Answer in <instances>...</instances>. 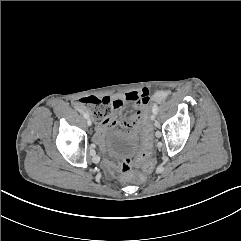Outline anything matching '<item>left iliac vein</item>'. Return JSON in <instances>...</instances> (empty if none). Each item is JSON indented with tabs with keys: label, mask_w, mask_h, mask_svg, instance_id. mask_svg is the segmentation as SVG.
<instances>
[{
	"label": "left iliac vein",
	"mask_w": 241,
	"mask_h": 241,
	"mask_svg": "<svg viewBox=\"0 0 241 241\" xmlns=\"http://www.w3.org/2000/svg\"><path fill=\"white\" fill-rule=\"evenodd\" d=\"M151 120H152V121L155 120V113H153V114L151 115Z\"/></svg>",
	"instance_id": "4c4485c4"
}]
</instances>
